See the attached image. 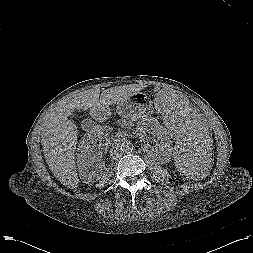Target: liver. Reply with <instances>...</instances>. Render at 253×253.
I'll return each mask as SVG.
<instances>
[{
    "mask_svg": "<svg viewBox=\"0 0 253 253\" xmlns=\"http://www.w3.org/2000/svg\"><path fill=\"white\" fill-rule=\"evenodd\" d=\"M143 84L116 86L103 90L93 88L61 101L41 125V143L46 162L55 177L65 186L76 189L79 179L75 166L78 130L69 119L75 109L109 108L128 100L144 89ZM160 92V91H159Z\"/></svg>",
    "mask_w": 253,
    "mask_h": 253,
    "instance_id": "1",
    "label": "liver"
}]
</instances>
